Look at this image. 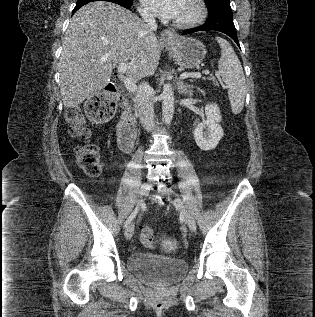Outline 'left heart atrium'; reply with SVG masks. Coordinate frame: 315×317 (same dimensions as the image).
<instances>
[{"instance_id": "obj_1", "label": "left heart atrium", "mask_w": 315, "mask_h": 317, "mask_svg": "<svg viewBox=\"0 0 315 317\" xmlns=\"http://www.w3.org/2000/svg\"><path fill=\"white\" fill-rule=\"evenodd\" d=\"M143 2L155 15L172 19L179 13L184 0H143Z\"/></svg>"}]
</instances>
